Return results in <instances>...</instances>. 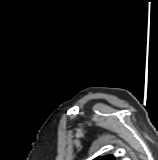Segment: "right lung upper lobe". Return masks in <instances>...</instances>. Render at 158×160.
<instances>
[{
    "mask_svg": "<svg viewBox=\"0 0 158 160\" xmlns=\"http://www.w3.org/2000/svg\"><path fill=\"white\" fill-rule=\"evenodd\" d=\"M94 160H115V157L113 155H107L104 157H97Z\"/></svg>",
    "mask_w": 158,
    "mask_h": 160,
    "instance_id": "cb5924a9",
    "label": "right lung upper lobe"
}]
</instances>
